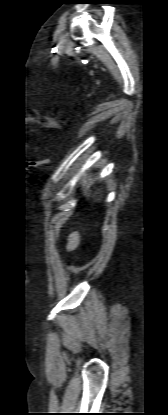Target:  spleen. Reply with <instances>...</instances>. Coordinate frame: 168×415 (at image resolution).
<instances>
[{
  "label": "spleen",
  "instance_id": "spleen-1",
  "mask_svg": "<svg viewBox=\"0 0 168 415\" xmlns=\"http://www.w3.org/2000/svg\"><path fill=\"white\" fill-rule=\"evenodd\" d=\"M91 183H92V180H90V183L88 184L87 183V181L84 179V180H82V185L83 186H87V187H89L90 185H91Z\"/></svg>",
  "mask_w": 168,
  "mask_h": 415
}]
</instances>
